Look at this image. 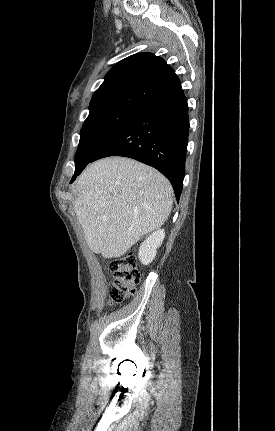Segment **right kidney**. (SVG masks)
I'll use <instances>...</instances> for the list:
<instances>
[{
    "label": "right kidney",
    "mask_w": 275,
    "mask_h": 431,
    "mask_svg": "<svg viewBox=\"0 0 275 431\" xmlns=\"http://www.w3.org/2000/svg\"><path fill=\"white\" fill-rule=\"evenodd\" d=\"M164 229L153 232L140 246L138 257L143 265L150 264L156 256L157 248H159L164 240Z\"/></svg>",
    "instance_id": "ca27d5eb"
}]
</instances>
